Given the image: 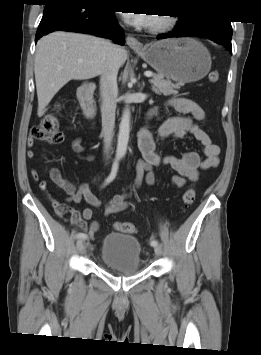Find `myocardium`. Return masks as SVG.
<instances>
[{
  "instance_id": "obj_1",
  "label": "myocardium",
  "mask_w": 261,
  "mask_h": 355,
  "mask_svg": "<svg viewBox=\"0 0 261 355\" xmlns=\"http://www.w3.org/2000/svg\"><path fill=\"white\" fill-rule=\"evenodd\" d=\"M175 24V17L173 15H161L156 23L151 27L152 32H164L172 28Z\"/></svg>"
}]
</instances>
